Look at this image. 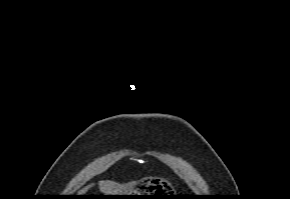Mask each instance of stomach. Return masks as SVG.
<instances>
[{
    "instance_id": "stomach-1",
    "label": "stomach",
    "mask_w": 290,
    "mask_h": 199,
    "mask_svg": "<svg viewBox=\"0 0 290 199\" xmlns=\"http://www.w3.org/2000/svg\"><path fill=\"white\" fill-rule=\"evenodd\" d=\"M170 192L171 191L167 185H164L161 181L152 179L142 181L138 186L134 187L133 189L129 190L126 193L115 195H131V196H119V198L121 199H148L154 196H135V195H174L170 194Z\"/></svg>"
}]
</instances>
